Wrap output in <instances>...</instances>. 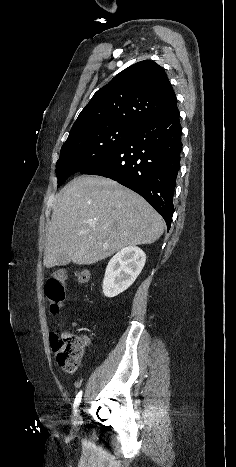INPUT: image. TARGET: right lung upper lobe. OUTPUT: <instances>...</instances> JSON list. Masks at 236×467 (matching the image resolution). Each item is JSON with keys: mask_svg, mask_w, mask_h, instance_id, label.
<instances>
[{"mask_svg": "<svg viewBox=\"0 0 236 467\" xmlns=\"http://www.w3.org/2000/svg\"><path fill=\"white\" fill-rule=\"evenodd\" d=\"M176 106V95L164 69L144 60L99 89L79 114L69 135L112 125L137 129Z\"/></svg>", "mask_w": 236, "mask_h": 467, "instance_id": "right-lung-upper-lobe-1", "label": "right lung upper lobe"}]
</instances>
